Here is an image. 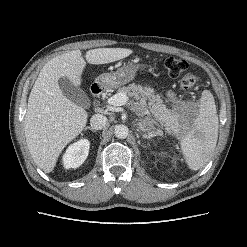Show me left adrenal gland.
Listing matches in <instances>:
<instances>
[{"mask_svg": "<svg viewBox=\"0 0 247 247\" xmlns=\"http://www.w3.org/2000/svg\"><path fill=\"white\" fill-rule=\"evenodd\" d=\"M159 135L161 136L162 135V132H161V130L157 129V131H155V130L150 131L148 133V135L144 134L143 137L146 138V139H151V138H153L155 136H159Z\"/></svg>", "mask_w": 247, "mask_h": 247, "instance_id": "left-adrenal-gland-1", "label": "left adrenal gland"}]
</instances>
